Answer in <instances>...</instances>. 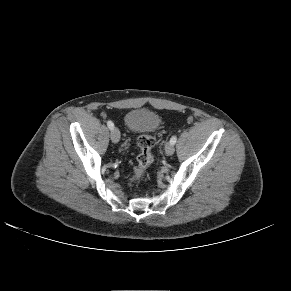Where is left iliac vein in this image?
<instances>
[{
    "label": "left iliac vein",
    "instance_id": "1",
    "mask_svg": "<svg viewBox=\"0 0 291 291\" xmlns=\"http://www.w3.org/2000/svg\"><path fill=\"white\" fill-rule=\"evenodd\" d=\"M175 151L174 145L171 143H167L165 145V152L167 155H172Z\"/></svg>",
    "mask_w": 291,
    "mask_h": 291
}]
</instances>
